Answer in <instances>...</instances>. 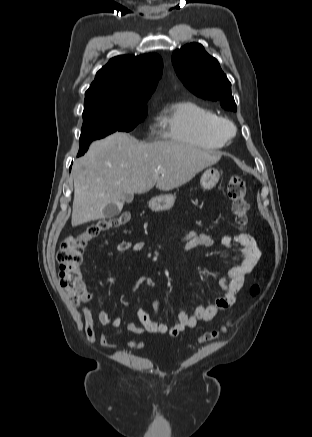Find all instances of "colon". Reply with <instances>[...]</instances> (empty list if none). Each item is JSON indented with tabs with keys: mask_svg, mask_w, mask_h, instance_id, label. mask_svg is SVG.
<instances>
[{
	"mask_svg": "<svg viewBox=\"0 0 312 437\" xmlns=\"http://www.w3.org/2000/svg\"><path fill=\"white\" fill-rule=\"evenodd\" d=\"M227 193L231 202V211L235 223L243 230L249 221V204L245 198V181L240 175L230 177L227 184ZM129 218L127 213L109 220H101L89 225L86 230L67 237L57 252L56 260L59 264V278L62 289L71 304L80 306L89 299L87 286L82 278L81 262L82 253L89 241L101 233L124 224ZM253 296L258 295L260 288L253 285L250 290ZM225 328L207 332L201 341L208 342L217 339Z\"/></svg>",
	"mask_w": 312,
	"mask_h": 437,
	"instance_id": "colon-1",
	"label": "colon"
}]
</instances>
